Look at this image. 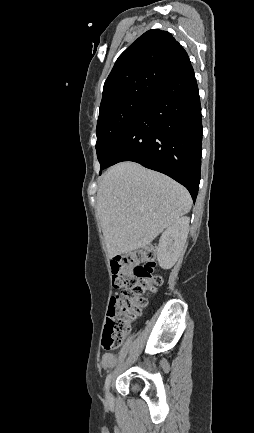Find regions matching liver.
I'll return each instance as SVG.
<instances>
[{"label":"liver","instance_id":"6515ba94","mask_svg":"<svg viewBox=\"0 0 254 433\" xmlns=\"http://www.w3.org/2000/svg\"><path fill=\"white\" fill-rule=\"evenodd\" d=\"M191 206L189 192L161 173L134 162L111 167L97 193L109 258L148 245Z\"/></svg>","mask_w":254,"mask_h":433}]
</instances>
